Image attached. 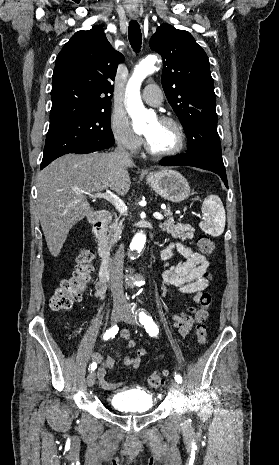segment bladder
Wrapping results in <instances>:
<instances>
[{
    "instance_id": "31cf9c89",
    "label": "bladder",
    "mask_w": 279,
    "mask_h": 465,
    "mask_svg": "<svg viewBox=\"0 0 279 465\" xmlns=\"http://www.w3.org/2000/svg\"><path fill=\"white\" fill-rule=\"evenodd\" d=\"M109 406L119 412L148 413L155 406L151 392L142 387H129L120 390L107 399Z\"/></svg>"
}]
</instances>
